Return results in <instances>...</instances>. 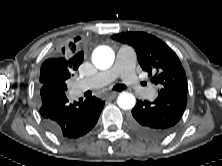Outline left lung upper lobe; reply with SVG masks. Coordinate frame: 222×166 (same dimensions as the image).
<instances>
[{
  "mask_svg": "<svg viewBox=\"0 0 222 166\" xmlns=\"http://www.w3.org/2000/svg\"><path fill=\"white\" fill-rule=\"evenodd\" d=\"M111 37L136 50L140 66L148 72V76L154 75L152 80L160 87V90L188 91L182 64L176 53L163 41L144 32L132 31L118 33Z\"/></svg>",
  "mask_w": 222,
  "mask_h": 166,
  "instance_id": "5c2ea615",
  "label": "left lung upper lobe"
}]
</instances>
